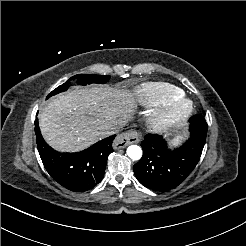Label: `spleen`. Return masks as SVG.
Returning a JSON list of instances; mask_svg holds the SVG:
<instances>
[{"label":"spleen","mask_w":246,"mask_h":246,"mask_svg":"<svg viewBox=\"0 0 246 246\" xmlns=\"http://www.w3.org/2000/svg\"><path fill=\"white\" fill-rule=\"evenodd\" d=\"M186 137H187V134H186V133L183 134V135H181V136H177V137L174 139V144H175V145H178L179 142H180V139H184V138H186Z\"/></svg>","instance_id":"3e777b00"}]
</instances>
